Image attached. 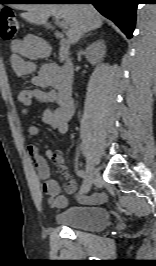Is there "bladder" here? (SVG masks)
Returning <instances> with one entry per match:
<instances>
[{"label":"bladder","mask_w":156,"mask_h":266,"mask_svg":"<svg viewBox=\"0 0 156 266\" xmlns=\"http://www.w3.org/2000/svg\"><path fill=\"white\" fill-rule=\"evenodd\" d=\"M55 221L72 229L98 231L110 224L111 216L102 207L71 206L58 212Z\"/></svg>","instance_id":"bladder-1"}]
</instances>
